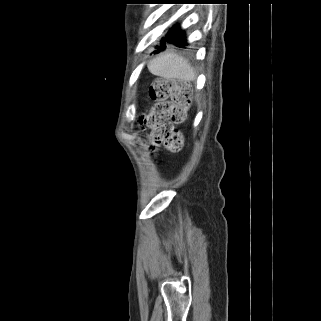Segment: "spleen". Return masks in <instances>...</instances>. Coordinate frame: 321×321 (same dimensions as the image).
<instances>
[{"instance_id": "1", "label": "spleen", "mask_w": 321, "mask_h": 321, "mask_svg": "<svg viewBox=\"0 0 321 321\" xmlns=\"http://www.w3.org/2000/svg\"><path fill=\"white\" fill-rule=\"evenodd\" d=\"M149 71L165 79H178L181 81H193L196 79L193 67L182 56L166 52L155 56L148 63Z\"/></svg>"}]
</instances>
